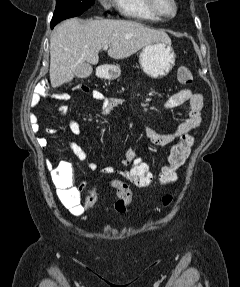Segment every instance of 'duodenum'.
<instances>
[{"mask_svg":"<svg viewBox=\"0 0 240 287\" xmlns=\"http://www.w3.org/2000/svg\"><path fill=\"white\" fill-rule=\"evenodd\" d=\"M110 68L107 64H101L98 66V77L99 78H108L110 76Z\"/></svg>","mask_w":240,"mask_h":287,"instance_id":"410a0bca","label":"duodenum"}]
</instances>
